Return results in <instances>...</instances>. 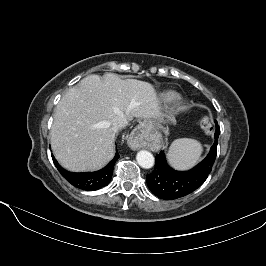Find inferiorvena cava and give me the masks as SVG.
<instances>
[{"instance_id": "602c4592", "label": "inferior vena cava", "mask_w": 266, "mask_h": 266, "mask_svg": "<svg viewBox=\"0 0 266 266\" xmlns=\"http://www.w3.org/2000/svg\"><path fill=\"white\" fill-rule=\"evenodd\" d=\"M128 120L123 116H117L112 120V128L115 132L127 126Z\"/></svg>"}]
</instances>
